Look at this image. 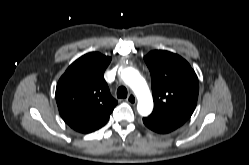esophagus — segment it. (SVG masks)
Masks as SVG:
<instances>
[{
  "instance_id": "34e87169",
  "label": "esophagus",
  "mask_w": 249,
  "mask_h": 165,
  "mask_svg": "<svg viewBox=\"0 0 249 165\" xmlns=\"http://www.w3.org/2000/svg\"><path fill=\"white\" fill-rule=\"evenodd\" d=\"M127 102L131 105H135L137 102V98L134 93H130L129 96L127 97Z\"/></svg>"
}]
</instances>
